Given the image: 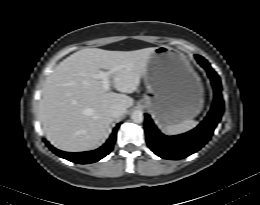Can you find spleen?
Wrapping results in <instances>:
<instances>
[{"mask_svg":"<svg viewBox=\"0 0 260 205\" xmlns=\"http://www.w3.org/2000/svg\"><path fill=\"white\" fill-rule=\"evenodd\" d=\"M196 126V121L191 119H186L178 124L169 125L165 128V132L168 135H178L192 130Z\"/></svg>","mask_w":260,"mask_h":205,"instance_id":"spleen-1","label":"spleen"}]
</instances>
